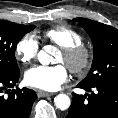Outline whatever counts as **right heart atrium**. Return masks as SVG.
Segmentation results:
<instances>
[{
    "label": "right heart atrium",
    "instance_id": "1",
    "mask_svg": "<svg viewBox=\"0 0 118 118\" xmlns=\"http://www.w3.org/2000/svg\"><path fill=\"white\" fill-rule=\"evenodd\" d=\"M40 44L37 37L32 33L23 35L15 46V57L24 64L31 63L36 59Z\"/></svg>",
    "mask_w": 118,
    "mask_h": 118
}]
</instances>
